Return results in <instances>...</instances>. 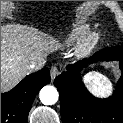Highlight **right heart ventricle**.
<instances>
[{"mask_svg": "<svg viewBox=\"0 0 123 123\" xmlns=\"http://www.w3.org/2000/svg\"><path fill=\"white\" fill-rule=\"evenodd\" d=\"M88 23H77L69 28L63 35V41L67 44L73 43L82 35H84L89 29Z\"/></svg>", "mask_w": 123, "mask_h": 123, "instance_id": "obj_1", "label": "right heart ventricle"}]
</instances>
